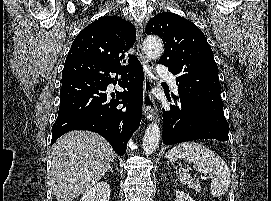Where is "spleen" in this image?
<instances>
[{"instance_id":"spleen-1","label":"spleen","mask_w":271,"mask_h":201,"mask_svg":"<svg viewBox=\"0 0 271 201\" xmlns=\"http://www.w3.org/2000/svg\"><path fill=\"white\" fill-rule=\"evenodd\" d=\"M180 158L193 164L196 172L209 175L210 194L213 197H221L228 191L231 183L230 169L218 154L197 142H183L171 150L169 160L174 163ZM176 175L182 184L191 188L197 183L189 173L177 171Z\"/></svg>"}]
</instances>
